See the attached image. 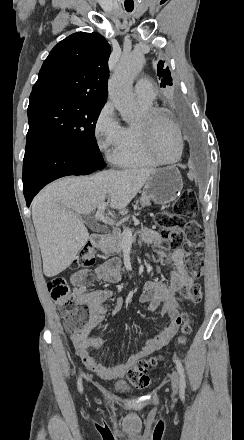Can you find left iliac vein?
Returning <instances> with one entry per match:
<instances>
[{"label":"left iliac vein","instance_id":"1","mask_svg":"<svg viewBox=\"0 0 244 440\" xmlns=\"http://www.w3.org/2000/svg\"><path fill=\"white\" fill-rule=\"evenodd\" d=\"M171 387L173 390L172 394L175 396L178 393V388H179V378L176 372H173L171 376Z\"/></svg>","mask_w":244,"mask_h":440}]
</instances>
